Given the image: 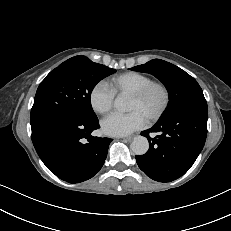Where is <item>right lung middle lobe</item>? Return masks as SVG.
Returning <instances> with one entry per match:
<instances>
[{
	"mask_svg": "<svg viewBox=\"0 0 231 231\" xmlns=\"http://www.w3.org/2000/svg\"><path fill=\"white\" fill-rule=\"evenodd\" d=\"M116 70L75 56L52 70L40 83L30 122L33 134L61 117L95 119L90 96L95 85Z\"/></svg>",
	"mask_w": 231,
	"mask_h": 231,
	"instance_id": "1",
	"label": "right lung middle lobe"
}]
</instances>
